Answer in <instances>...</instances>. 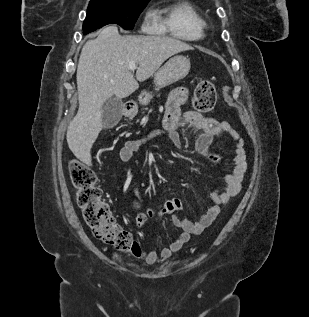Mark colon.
I'll return each mask as SVG.
<instances>
[{"label": "colon", "mask_w": 309, "mask_h": 317, "mask_svg": "<svg viewBox=\"0 0 309 317\" xmlns=\"http://www.w3.org/2000/svg\"><path fill=\"white\" fill-rule=\"evenodd\" d=\"M216 97L214 84L209 80H202L194 90L193 105L197 111L209 112L215 106ZM69 172L71 181L77 189V203L94 235L121 252L137 259L141 258V246L116 222L108 204L102 199L95 172L78 160L70 162Z\"/></svg>", "instance_id": "colon-1"}]
</instances>
